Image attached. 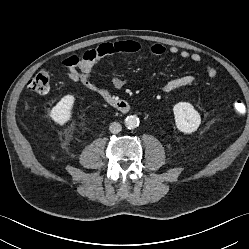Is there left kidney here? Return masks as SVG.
<instances>
[{
	"label": "left kidney",
	"mask_w": 249,
	"mask_h": 249,
	"mask_svg": "<svg viewBox=\"0 0 249 249\" xmlns=\"http://www.w3.org/2000/svg\"><path fill=\"white\" fill-rule=\"evenodd\" d=\"M173 113L177 129L185 134L195 132L201 123L200 114L188 102L175 104Z\"/></svg>",
	"instance_id": "obj_1"
}]
</instances>
